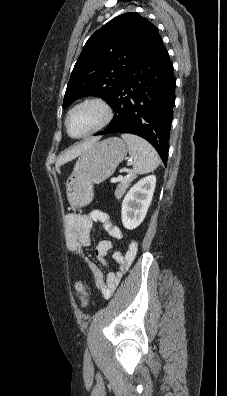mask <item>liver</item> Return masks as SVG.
<instances>
[{"instance_id":"6515ba94","label":"liver","mask_w":227,"mask_h":396,"mask_svg":"<svg viewBox=\"0 0 227 396\" xmlns=\"http://www.w3.org/2000/svg\"><path fill=\"white\" fill-rule=\"evenodd\" d=\"M97 141V138H93L91 140H87L78 146L74 147L73 149L67 151L64 155L60 157V159L56 163V169L59 171V168L62 164L67 163L79 155H81L83 152L88 150L95 142Z\"/></svg>"}]
</instances>
